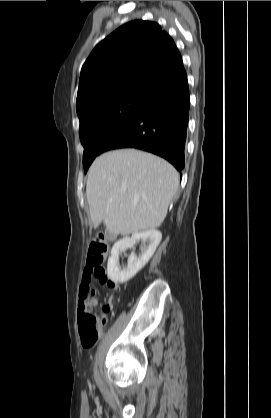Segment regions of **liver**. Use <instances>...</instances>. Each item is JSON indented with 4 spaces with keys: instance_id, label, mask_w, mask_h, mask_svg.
Returning <instances> with one entry per match:
<instances>
[{
    "instance_id": "6515ba94",
    "label": "liver",
    "mask_w": 271,
    "mask_h": 418,
    "mask_svg": "<svg viewBox=\"0 0 271 418\" xmlns=\"http://www.w3.org/2000/svg\"><path fill=\"white\" fill-rule=\"evenodd\" d=\"M179 186L166 160L136 149L106 152L89 168L86 197L93 226L113 234L158 228Z\"/></svg>"
}]
</instances>
